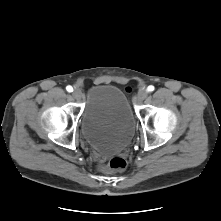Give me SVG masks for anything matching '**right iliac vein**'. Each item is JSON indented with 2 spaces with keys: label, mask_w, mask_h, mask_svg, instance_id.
<instances>
[{
  "label": "right iliac vein",
  "mask_w": 221,
  "mask_h": 221,
  "mask_svg": "<svg viewBox=\"0 0 221 221\" xmlns=\"http://www.w3.org/2000/svg\"><path fill=\"white\" fill-rule=\"evenodd\" d=\"M72 95L75 99H81L82 92L79 88H75Z\"/></svg>",
  "instance_id": "obj_1"
}]
</instances>
